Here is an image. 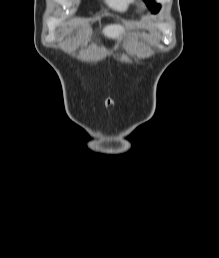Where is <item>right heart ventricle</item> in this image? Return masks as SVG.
Wrapping results in <instances>:
<instances>
[{
	"mask_svg": "<svg viewBox=\"0 0 219 258\" xmlns=\"http://www.w3.org/2000/svg\"><path fill=\"white\" fill-rule=\"evenodd\" d=\"M105 5L114 12L128 13L137 5V0H104Z\"/></svg>",
	"mask_w": 219,
	"mask_h": 258,
	"instance_id": "e07e8e85",
	"label": "right heart ventricle"
}]
</instances>
